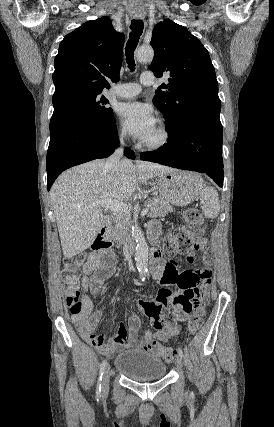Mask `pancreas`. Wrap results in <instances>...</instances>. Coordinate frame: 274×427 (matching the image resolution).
<instances>
[{
	"label": "pancreas",
	"mask_w": 274,
	"mask_h": 427,
	"mask_svg": "<svg viewBox=\"0 0 274 427\" xmlns=\"http://www.w3.org/2000/svg\"><path fill=\"white\" fill-rule=\"evenodd\" d=\"M145 208H148L149 214L148 217H163V215L168 214L172 210L169 202L165 198H160V196H155L152 200H145ZM129 214H115L113 215L111 221L108 223L105 231L106 237H112L115 241H121L123 237H128L129 235Z\"/></svg>",
	"instance_id": "cf45deb5"
}]
</instances>
